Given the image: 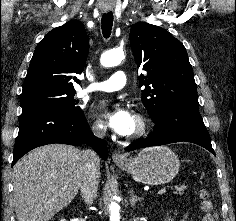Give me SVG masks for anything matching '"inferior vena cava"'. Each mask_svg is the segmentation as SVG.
<instances>
[{"label": "inferior vena cava", "instance_id": "602c4592", "mask_svg": "<svg viewBox=\"0 0 236 221\" xmlns=\"http://www.w3.org/2000/svg\"><path fill=\"white\" fill-rule=\"evenodd\" d=\"M93 134L103 138L105 132L100 128H93ZM83 171L80 182L82 199L86 204H92L97 197L100 176V158L98 154L90 149L82 151Z\"/></svg>", "mask_w": 236, "mask_h": 221}]
</instances>
